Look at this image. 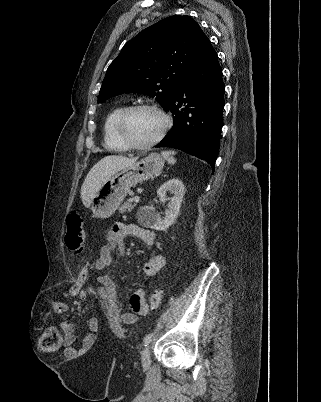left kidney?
<instances>
[{
  "mask_svg": "<svg viewBox=\"0 0 321 402\" xmlns=\"http://www.w3.org/2000/svg\"><path fill=\"white\" fill-rule=\"evenodd\" d=\"M168 191L173 193L174 196L170 198L165 217L161 219L154 208L146 206L138 212V219L141 223L160 231L166 230L173 224L180 210L184 195V185L179 179L172 178L160 186L157 190V196L166 197V192Z\"/></svg>",
  "mask_w": 321,
  "mask_h": 402,
  "instance_id": "obj_1",
  "label": "left kidney"
}]
</instances>
